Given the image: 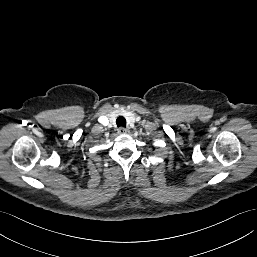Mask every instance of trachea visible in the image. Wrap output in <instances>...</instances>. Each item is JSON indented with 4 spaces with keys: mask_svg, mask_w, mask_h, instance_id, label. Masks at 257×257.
I'll list each match as a JSON object with an SVG mask.
<instances>
[{
    "mask_svg": "<svg viewBox=\"0 0 257 257\" xmlns=\"http://www.w3.org/2000/svg\"><path fill=\"white\" fill-rule=\"evenodd\" d=\"M118 127H126V119L123 116H119L116 120Z\"/></svg>",
    "mask_w": 257,
    "mask_h": 257,
    "instance_id": "obj_1",
    "label": "trachea"
}]
</instances>
